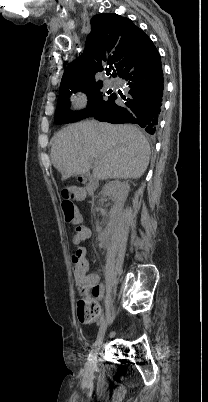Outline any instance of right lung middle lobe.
Returning <instances> with one entry per match:
<instances>
[{
	"mask_svg": "<svg viewBox=\"0 0 208 402\" xmlns=\"http://www.w3.org/2000/svg\"><path fill=\"white\" fill-rule=\"evenodd\" d=\"M103 84L101 81H92L77 87H73L64 91H60L58 97L57 109L55 114V122L57 124L72 123L88 117H93L97 112L108 110L114 102V93L101 92ZM83 91L88 96V105L82 111L72 112L67 110V95Z\"/></svg>",
	"mask_w": 208,
	"mask_h": 402,
	"instance_id": "right-lung-middle-lobe-1",
	"label": "right lung middle lobe"
}]
</instances>
